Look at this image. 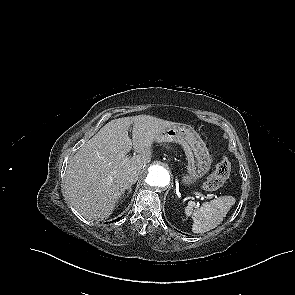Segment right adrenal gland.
Segmentation results:
<instances>
[{
    "instance_id": "2a0ac1e0",
    "label": "right adrenal gland",
    "mask_w": 295,
    "mask_h": 295,
    "mask_svg": "<svg viewBox=\"0 0 295 295\" xmlns=\"http://www.w3.org/2000/svg\"><path fill=\"white\" fill-rule=\"evenodd\" d=\"M134 183H131L129 186H128V188H127V190H128V193H127V196H129V194L131 193V191H132V185H133Z\"/></svg>"
}]
</instances>
